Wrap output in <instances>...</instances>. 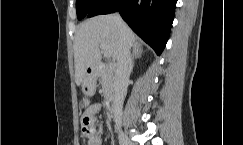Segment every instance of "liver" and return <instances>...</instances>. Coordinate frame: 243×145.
<instances>
[{"mask_svg":"<svg viewBox=\"0 0 243 145\" xmlns=\"http://www.w3.org/2000/svg\"><path fill=\"white\" fill-rule=\"evenodd\" d=\"M126 34L131 46L140 44L135 34L126 25ZM121 32L116 15H100L81 23L74 40L75 83L80 86L88 68L95 69L101 61L99 46L104 44L111 52L113 60H117L121 46Z\"/></svg>","mask_w":243,"mask_h":145,"instance_id":"liver-1","label":"liver"}]
</instances>
